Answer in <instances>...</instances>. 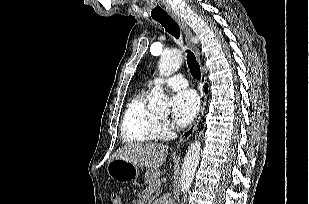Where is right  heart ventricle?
<instances>
[{"mask_svg": "<svg viewBox=\"0 0 309 204\" xmlns=\"http://www.w3.org/2000/svg\"><path fill=\"white\" fill-rule=\"evenodd\" d=\"M158 117L148 108L146 96H135L122 119L121 137L125 143H144L158 138Z\"/></svg>", "mask_w": 309, "mask_h": 204, "instance_id": "obj_1", "label": "right heart ventricle"}]
</instances>
